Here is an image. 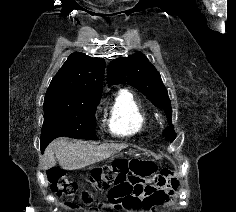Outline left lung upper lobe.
Instances as JSON below:
<instances>
[{"label": "left lung upper lobe", "instance_id": "left-lung-upper-lobe-1", "mask_svg": "<svg viewBox=\"0 0 236 212\" xmlns=\"http://www.w3.org/2000/svg\"><path fill=\"white\" fill-rule=\"evenodd\" d=\"M108 85L128 84L143 93L155 106L162 108L167 116L169 127L163 135L171 142L176 134L172 126V110L168 92L160 73L143 54L114 59L107 69Z\"/></svg>", "mask_w": 236, "mask_h": 212}]
</instances>
